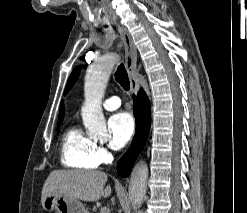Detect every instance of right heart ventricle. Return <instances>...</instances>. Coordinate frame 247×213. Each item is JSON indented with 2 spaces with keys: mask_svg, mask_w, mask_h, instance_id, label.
<instances>
[{
  "mask_svg": "<svg viewBox=\"0 0 247 213\" xmlns=\"http://www.w3.org/2000/svg\"><path fill=\"white\" fill-rule=\"evenodd\" d=\"M95 142L73 125L66 129L61 142V161L67 167L94 169L98 166L93 155Z\"/></svg>",
  "mask_w": 247,
  "mask_h": 213,
  "instance_id": "e07e8e85",
  "label": "right heart ventricle"
}]
</instances>
